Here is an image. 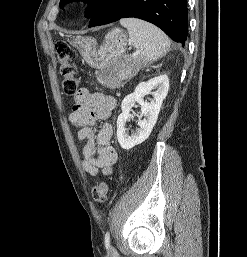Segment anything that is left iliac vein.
Here are the masks:
<instances>
[{
    "label": "left iliac vein",
    "mask_w": 247,
    "mask_h": 257,
    "mask_svg": "<svg viewBox=\"0 0 247 257\" xmlns=\"http://www.w3.org/2000/svg\"><path fill=\"white\" fill-rule=\"evenodd\" d=\"M115 253H116L115 249L111 247V249H110V254H111L112 256H115Z\"/></svg>",
    "instance_id": "1"
}]
</instances>
